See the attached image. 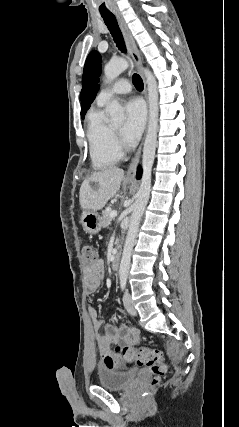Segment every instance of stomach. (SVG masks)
I'll return each instance as SVG.
<instances>
[{
  "label": "stomach",
  "instance_id": "obj_1",
  "mask_svg": "<svg viewBox=\"0 0 239 427\" xmlns=\"http://www.w3.org/2000/svg\"><path fill=\"white\" fill-rule=\"evenodd\" d=\"M81 223L84 230L89 234H97L103 227L102 217L93 210L82 212Z\"/></svg>",
  "mask_w": 239,
  "mask_h": 427
}]
</instances>
